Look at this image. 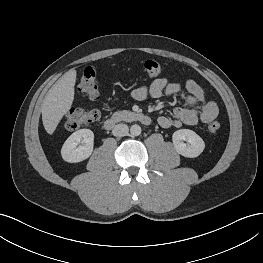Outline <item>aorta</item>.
<instances>
[{
  "label": "aorta",
  "mask_w": 263,
  "mask_h": 263,
  "mask_svg": "<svg viewBox=\"0 0 263 263\" xmlns=\"http://www.w3.org/2000/svg\"><path fill=\"white\" fill-rule=\"evenodd\" d=\"M141 127L137 124H134L130 128V133L132 136H139L141 134Z\"/></svg>",
  "instance_id": "obj_1"
}]
</instances>
